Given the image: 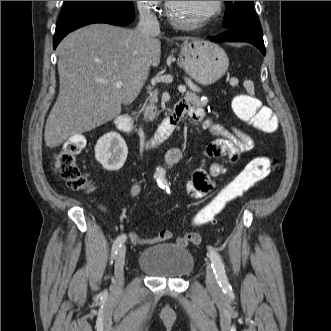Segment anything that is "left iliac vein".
<instances>
[{
  "instance_id": "4c4485c4",
  "label": "left iliac vein",
  "mask_w": 331,
  "mask_h": 331,
  "mask_svg": "<svg viewBox=\"0 0 331 331\" xmlns=\"http://www.w3.org/2000/svg\"><path fill=\"white\" fill-rule=\"evenodd\" d=\"M206 284L210 290L216 291L218 289V282L213 271V268L210 266V263H207L206 267Z\"/></svg>"
}]
</instances>
